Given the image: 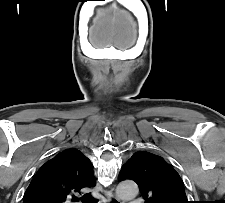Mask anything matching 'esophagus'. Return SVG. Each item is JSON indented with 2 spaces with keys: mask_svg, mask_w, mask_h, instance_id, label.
<instances>
[{
  "mask_svg": "<svg viewBox=\"0 0 225 203\" xmlns=\"http://www.w3.org/2000/svg\"><path fill=\"white\" fill-rule=\"evenodd\" d=\"M105 195V200L108 203H113L114 201H116L117 203H121L120 200L114 195L112 190H106L104 192Z\"/></svg>",
  "mask_w": 225,
  "mask_h": 203,
  "instance_id": "obj_1",
  "label": "esophagus"
}]
</instances>
